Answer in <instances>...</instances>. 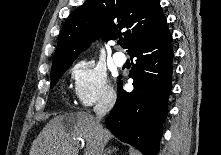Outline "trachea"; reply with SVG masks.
<instances>
[{
    "label": "trachea",
    "instance_id": "3493384b",
    "mask_svg": "<svg viewBox=\"0 0 221 155\" xmlns=\"http://www.w3.org/2000/svg\"><path fill=\"white\" fill-rule=\"evenodd\" d=\"M122 42V40H120L118 43L120 44Z\"/></svg>",
    "mask_w": 221,
    "mask_h": 155
}]
</instances>
